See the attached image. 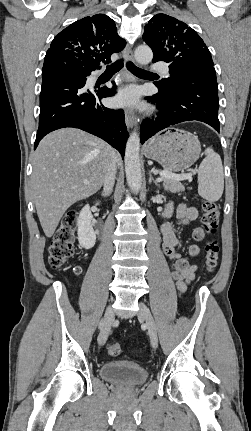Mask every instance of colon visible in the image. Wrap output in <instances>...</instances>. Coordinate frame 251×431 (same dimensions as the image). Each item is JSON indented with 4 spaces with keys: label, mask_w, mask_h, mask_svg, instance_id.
<instances>
[{
    "label": "colon",
    "mask_w": 251,
    "mask_h": 431,
    "mask_svg": "<svg viewBox=\"0 0 251 431\" xmlns=\"http://www.w3.org/2000/svg\"><path fill=\"white\" fill-rule=\"evenodd\" d=\"M203 230L209 234L216 232L219 224L220 213L218 206L213 201L203 200L202 204ZM78 213L75 210L68 211L62 218L61 223L49 246V265L53 269L60 268L69 261L74 253V241L76 236ZM220 247L217 240H209L205 245V263L209 272L214 271L218 264ZM106 350L110 355L120 352L117 342L109 341Z\"/></svg>",
    "instance_id": "5ec220e1"
}]
</instances>
